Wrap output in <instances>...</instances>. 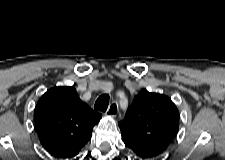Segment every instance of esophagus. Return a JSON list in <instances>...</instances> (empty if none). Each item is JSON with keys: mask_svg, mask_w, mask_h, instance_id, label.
I'll list each match as a JSON object with an SVG mask.
<instances>
[{"mask_svg": "<svg viewBox=\"0 0 225 160\" xmlns=\"http://www.w3.org/2000/svg\"><path fill=\"white\" fill-rule=\"evenodd\" d=\"M117 113H118V104L116 101H113L109 105L106 114L109 116L115 117L117 115Z\"/></svg>", "mask_w": 225, "mask_h": 160, "instance_id": "34e87169", "label": "esophagus"}]
</instances>
